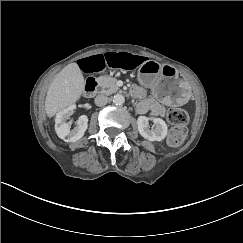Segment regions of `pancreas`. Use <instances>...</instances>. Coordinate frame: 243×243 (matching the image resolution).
I'll return each mask as SVG.
<instances>
[{
  "label": "pancreas",
  "mask_w": 243,
  "mask_h": 243,
  "mask_svg": "<svg viewBox=\"0 0 243 243\" xmlns=\"http://www.w3.org/2000/svg\"><path fill=\"white\" fill-rule=\"evenodd\" d=\"M98 85L102 86L105 94H112L117 92L118 86L116 85V78L110 76H100L96 79Z\"/></svg>",
  "instance_id": "cf45deb5"
}]
</instances>
